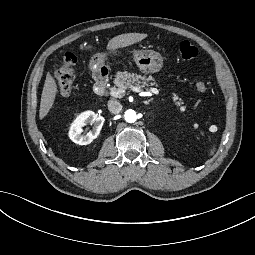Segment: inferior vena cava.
I'll return each mask as SVG.
<instances>
[{
	"label": "inferior vena cava",
	"mask_w": 255,
	"mask_h": 255,
	"mask_svg": "<svg viewBox=\"0 0 255 255\" xmlns=\"http://www.w3.org/2000/svg\"><path fill=\"white\" fill-rule=\"evenodd\" d=\"M108 109L111 113L118 114L122 110V105L116 100H109Z\"/></svg>",
	"instance_id": "obj_1"
}]
</instances>
